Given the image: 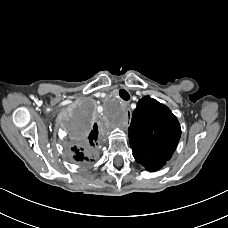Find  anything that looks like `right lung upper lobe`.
<instances>
[{
    "label": "right lung upper lobe",
    "mask_w": 228,
    "mask_h": 228,
    "mask_svg": "<svg viewBox=\"0 0 228 228\" xmlns=\"http://www.w3.org/2000/svg\"><path fill=\"white\" fill-rule=\"evenodd\" d=\"M97 129H94V131H91L89 138L85 140L84 142H79L76 145H74L71 150L74 152L75 156L74 158L77 161H93L91 159L88 151L91 148L90 146L95 147V143L97 140ZM97 145V143H96Z\"/></svg>",
    "instance_id": "right-lung-upper-lobe-1"
}]
</instances>
